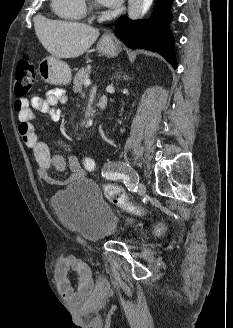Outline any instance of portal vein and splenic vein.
<instances>
[{
	"label": "portal vein and splenic vein",
	"instance_id": "portal-vein-and-splenic-vein-1",
	"mask_svg": "<svg viewBox=\"0 0 233 328\" xmlns=\"http://www.w3.org/2000/svg\"><path fill=\"white\" fill-rule=\"evenodd\" d=\"M91 83L90 79H86L84 82V86H89Z\"/></svg>",
	"mask_w": 233,
	"mask_h": 328
}]
</instances>
